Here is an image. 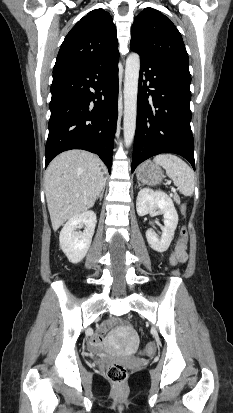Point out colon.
Returning <instances> with one entry per match:
<instances>
[{
	"mask_svg": "<svg viewBox=\"0 0 233 413\" xmlns=\"http://www.w3.org/2000/svg\"><path fill=\"white\" fill-rule=\"evenodd\" d=\"M187 241V229L183 227L180 231L179 241L175 247L174 253L170 258V265L172 267L176 266L179 262L180 258V251L184 245H186ZM155 351V345L153 343H149L145 346L143 353L145 355H152ZM107 375L109 379L115 383H122L127 375H128V368L119 363H112L107 367Z\"/></svg>",
	"mask_w": 233,
	"mask_h": 413,
	"instance_id": "5ec220e1",
	"label": "colon"
}]
</instances>
